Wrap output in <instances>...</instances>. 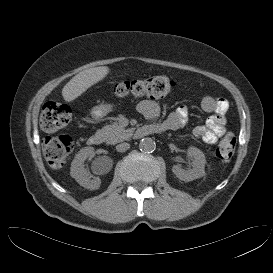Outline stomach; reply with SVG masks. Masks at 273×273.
Listing matches in <instances>:
<instances>
[{"instance_id": "obj_1", "label": "stomach", "mask_w": 273, "mask_h": 273, "mask_svg": "<svg viewBox=\"0 0 273 273\" xmlns=\"http://www.w3.org/2000/svg\"><path fill=\"white\" fill-rule=\"evenodd\" d=\"M113 109V106L111 104H100L91 110V115L95 119H100L105 117L107 114H109Z\"/></svg>"}]
</instances>
